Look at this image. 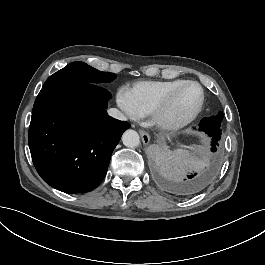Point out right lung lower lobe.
<instances>
[{"mask_svg":"<svg viewBox=\"0 0 265 265\" xmlns=\"http://www.w3.org/2000/svg\"><path fill=\"white\" fill-rule=\"evenodd\" d=\"M111 94L96 84L42 88L32 110L29 148L41 178L66 193H85L104 179L128 122L108 116Z\"/></svg>","mask_w":265,"mask_h":265,"instance_id":"1","label":"right lung lower lobe"}]
</instances>
